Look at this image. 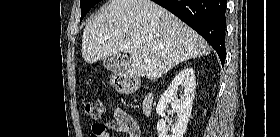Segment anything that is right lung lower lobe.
Masks as SVG:
<instances>
[{"instance_id": "right-lung-lower-lobe-1", "label": "right lung lower lobe", "mask_w": 280, "mask_h": 137, "mask_svg": "<svg viewBox=\"0 0 280 137\" xmlns=\"http://www.w3.org/2000/svg\"><path fill=\"white\" fill-rule=\"evenodd\" d=\"M199 33L217 52L221 63L226 58V0H153Z\"/></svg>"}]
</instances>
